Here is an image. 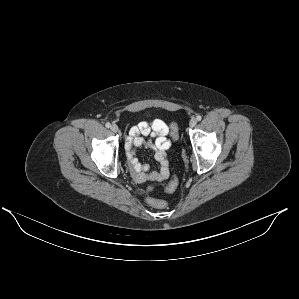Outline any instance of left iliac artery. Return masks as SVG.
I'll return each instance as SVG.
<instances>
[{
	"instance_id": "left-iliac-artery-1",
	"label": "left iliac artery",
	"mask_w": 299,
	"mask_h": 299,
	"mask_svg": "<svg viewBox=\"0 0 299 299\" xmlns=\"http://www.w3.org/2000/svg\"><path fill=\"white\" fill-rule=\"evenodd\" d=\"M196 119H197V121H200V120L202 119V117H201L200 115H198V116L196 117Z\"/></svg>"
}]
</instances>
